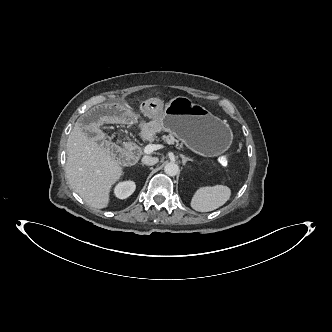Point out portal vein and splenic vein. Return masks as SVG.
<instances>
[{
    "mask_svg": "<svg viewBox=\"0 0 332 332\" xmlns=\"http://www.w3.org/2000/svg\"><path fill=\"white\" fill-rule=\"evenodd\" d=\"M162 148H164V146L161 145V144H148L144 148V153L150 154L153 151L158 150V149H162Z\"/></svg>",
    "mask_w": 332,
    "mask_h": 332,
    "instance_id": "1",
    "label": "portal vein and splenic vein"
}]
</instances>
